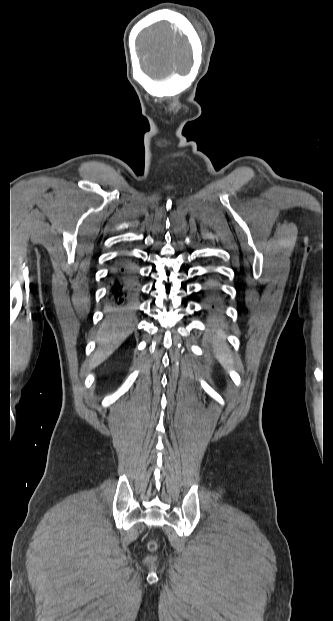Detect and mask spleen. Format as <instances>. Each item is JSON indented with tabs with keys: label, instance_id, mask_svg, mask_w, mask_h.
<instances>
[{
	"label": "spleen",
	"instance_id": "obj_1",
	"mask_svg": "<svg viewBox=\"0 0 333 621\" xmlns=\"http://www.w3.org/2000/svg\"><path fill=\"white\" fill-rule=\"evenodd\" d=\"M213 352L218 362L227 370L234 368L233 355L227 346L223 332L216 330V334L212 336Z\"/></svg>",
	"mask_w": 333,
	"mask_h": 621
}]
</instances>
